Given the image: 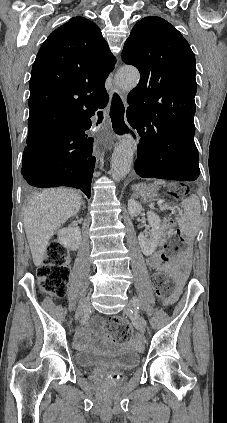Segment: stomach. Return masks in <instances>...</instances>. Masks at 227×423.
<instances>
[{"label": "stomach", "mask_w": 227, "mask_h": 423, "mask_svg": "<svg viewBox=\"0 0 227 423\" xmlns=\"http://www.w3.org/2000/svg\"><path fill=\"white\" fill-rule=\"evenodd\" d=\"M134 192L138 198H142V200H154L155 196H157V186H145V184H138L135 186Z\"/></svg>", "instance_id": "obj_1"}]
</instances>
